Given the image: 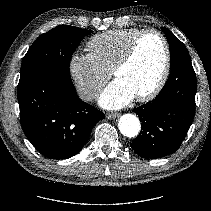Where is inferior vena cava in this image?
<instances>
[{"label":"inferior vena cava","mask_w":211,"mask_h":211,"mask_svg":"<svg viewBox=\"0 0 211 211\" xmlns=\"http://www.w3.org/2000/svg\"><path fill=\"white\" fill-rule=\"evenodd\" d=\"M79 95H80V98L82 100L91 101L97 95V90L91 89V88L84 89V90H81L80 91Z\"/></svg>","instance_id":"602c4592"}]
</instances>
